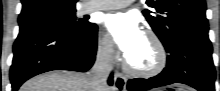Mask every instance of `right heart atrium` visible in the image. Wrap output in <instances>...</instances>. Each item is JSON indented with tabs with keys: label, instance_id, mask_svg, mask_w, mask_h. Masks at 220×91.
Segmentation results:
<instances>
[{
	"label": "right heart atrium",
	"instance_id": "d8ad5b80",
	"mask_svg": "<svg viewBox=\"0 0 220 91\" xmlns=\"http://www.w3.org/2000/svg\"><path fill=\"white\" fill-rule=\"evenodd\" d=\"M97 54L104 62H112L115 57L114 45L111 39L105 35L100 34L96 42Z\"/></svg>",
	"mask_w": 220,
	"mask_h": 91
}]
</instances>
